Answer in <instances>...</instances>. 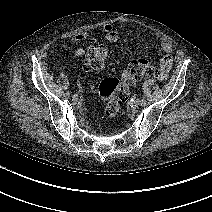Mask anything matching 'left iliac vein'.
<instances>
[{"mask_svg":"<svg viewBox=\"0 0 212 212\" xmlns=\"http://www.w3.org/2000/svg\"><path fill=\"white\" fill-rule=\"evenodd\" d=\"M133 106H134V107L141 106V101H140V99H135L134 102H133Z\"/></svg>","mask_w":212,"mask_h":212,"instance_id":"4c4485c4","label":"left iliac vein"}]
</instances>
